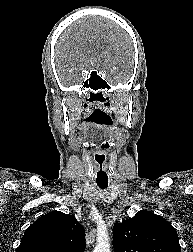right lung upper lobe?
<instances>
[{
    "mask_svg": "<svg viewBox=\"0 0 193 252\" xmlns=\"http://www.w3.org/2000/svg\"><path fill=\"white\" fill-rule=\"evenodd\" d=\"M85 232L74 216L53 211L24 233L17 252H84Z\"/></svg>",
    "mask_w": 193,
    "mask_h": 252,
    "instance_id": "obj_1",
    "label": "right lung upper lobe"
}]
</instances>
